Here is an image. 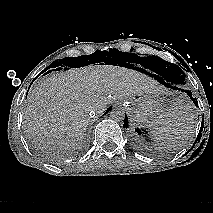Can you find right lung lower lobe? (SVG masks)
<instances>
[{"mask_svg":"<svg viewBox=\"0 0 213 213\" xmlns=\"http://www.w3.org/2000/svg\"><path fill=\"white\" fill-rule=\"evenodd\" d=\"M47 69H48V68H47ZM60 69H61L60 67L54 68L53 71H54V70H60ZM49 72H50V71H49ZM110 110H112V107H109V108L107 109V112H109Z\"/></svg>","mask_w":213,"mask_h":213,"instance_id":"right-lung-lower-lobe-1","label":"right lung lower lobe"}]
</instances>
